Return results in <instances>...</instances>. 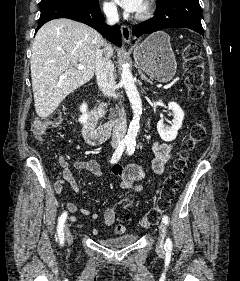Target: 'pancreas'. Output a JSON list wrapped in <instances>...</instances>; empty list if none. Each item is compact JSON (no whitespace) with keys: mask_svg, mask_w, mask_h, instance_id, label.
Wrapping results in <instances>:
<instances>
[{"mask_svg":"<svg viewBox=\"0 0 240 281\" xmlns=\"http://www.w3.org/2000/svg\"><path fill=\"white\" fill-rule=\"evenodd\" d=\"M104 109H105V105L103 103H99L98 104V107H97V110L100 114H104Z\"/></svg>","mask_w":240,"mask_h":281,"instance_id":"1","label":"pancreas"}]
</instances>
